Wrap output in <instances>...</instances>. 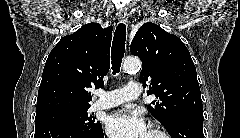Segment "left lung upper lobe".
Segmentation results:
<instances>
[{
	"label": "left lung upper lobe",
	"instance_id": "5c2ea615",
	"mask_svg": "<svg viewBox=\"0 0 240 138\" xmlns=\"http://www.w3.org/2000/svg\"><path fill=\"white\" fill-rule=\"evenodd\" d=\"M130 52L142 61L140 80L149 82V106L153 116L167 129L179 116L203 111L196 68L184 43L160 26L147 22L136 32Z\"/></svg>",
	"mask_w": 240,
	"mask_h": 138
}]
</instances>
